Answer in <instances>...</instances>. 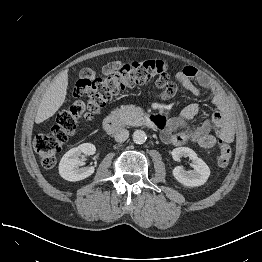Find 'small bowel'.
<instances>
[{
  "instance_id": "c3829d8e",
  "label": "small bowel",
  "mask_w": 262,
  "mask_h": 262,
  "mask_svg": "<svg viewBox=\"0 0 262 262\" xmlns=\"http://www.w3.org/2000/svg\"><path fill=\"white\" fill-rule=\"evenodd\" d=\"M175 78L181 86L188 89L197 98L200 97L202 93L194 84V81L201 84L211 93L212 102L217 110L209 120H205L199 127L192 129L191 123L199 114L200 108L197 104L186 106L180 115L172 120L168 128H161L160 137L162 141L175 146L183 145L186 142H193L207 149L213 148L218 139L232 142L234 139V129L226 96L220 92L205 75L193 66L184 67L176 73ZM177 90V84L171 83L160 91L159 97L164 100L169 99L176 94ZM212 125L217 127L215 135L210 134Z\"/></svg>"
}]
</instances>
